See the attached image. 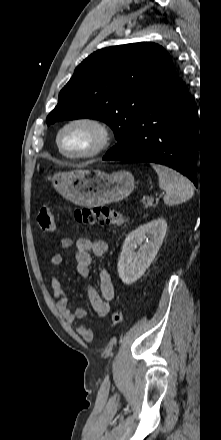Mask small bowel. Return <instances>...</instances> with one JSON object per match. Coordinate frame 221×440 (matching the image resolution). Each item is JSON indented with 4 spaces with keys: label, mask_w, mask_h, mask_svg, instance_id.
<instances>
[{
    "label": "small bowel",
    "mask_w": 221,
    "mask_h": 440,
    "mask_svg": "<svg viewBox=\"0 0 221 440\" xmlns=\"http://www.w3.org/2000/svg\"><path fill=\"white\" fill-rule=\"evenodd\" d=\"M76 247V270L79 276L88 278L91 273L92 255L96 257L103 256L108 249V245L103 240L92 241L86 237L71 238L67 237L60 241L61 249H68L71 246ZM52 273L50 276V284L52 295L57 300L56 308L68 323H75L86 317V311L83 308H76L71 311L68 306V298L60 280L55 275V270L63 263V256L56 252L51 255ZM87 295L91 307L95 314L99 317H105L110 312V301L114 298V287L110 273L102 269L99 272V289L92 286L87 288ZM78 334L88 342L94 339L95 332L93 329L84 325L77 327Z\"/></svg>",
    "instance_id": "obj_1"
}]
</instances>
